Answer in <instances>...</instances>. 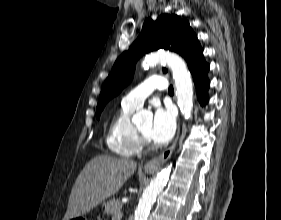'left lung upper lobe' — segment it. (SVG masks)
Returning <instances> with one entry per match:
<instances>
[{
	"label": "left lung upper lobe",
	"instance_id": "left-lung-upper-lobe-1",
	"mask_svg": "<svg viewBox=\"0 0 281 220\" xmlns=\"http://www.w3.org/2000/svg\"><path fill=\"white\" fill-rule=\"evenodd\" d=\"M165 49L180 54L187 64L203 53L189 22L177 15L162 14L154 22L146 19L136 41L116 60L100 93L96 117L99 119L105 104L129 84L134 65L145 52ZM166 72V69H164Z\"/></svg>",
	"mask_w": 281,
	"mask_h": 220
}]
</instances>
